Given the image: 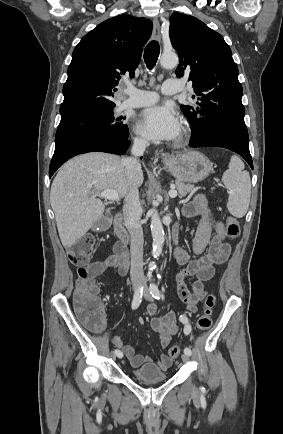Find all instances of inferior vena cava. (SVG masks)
Wrapping results in <instances>:
<instances>
[{
	"instance_id": "602c4592",
	"label": "inferior vena cava",
	"mask_w": 283,
	"mask_h": 434,
	"mask_svg": "<svg viewBox=\"0 0 283 434\" xmlns=\"http://www.w3.org/2000/svg\"><path fill=\"white\" fill-rule=\"evenodd\" d=\"M148 142L143 139H135L131 153L132 157L123 158L121 163L125 168L127 179L133 183L141 165L138 157L143 155ZM123 214L126 227L131 237V280L132 282H141L143 276V230L140 223L142 208L139 202V192L135 185H132L130 191L125 196L123 205Z\"/></svg>"
}]
</instances>
